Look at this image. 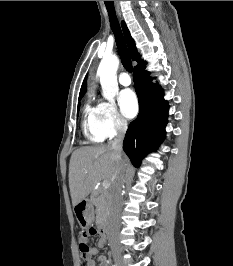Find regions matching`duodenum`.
Masks as SVG:
<instances>
[{"mask_svg":"<svg viewBox=\"0 0 233 266\" xmlns=\"http://www.w3.org/2000/svg\"><path fill=\"white\" fill-rule=\"evenodd\" d=\"M98 229H99V232H100V234L102 236V239L106 243L107 240L110 237V232H109V229H108L107 225L102 222V223L99 224V228Z\"/></svg>","mask_w":233,"mask_h":266,"instance_id":"410a0bca","label":"duodenum"}]
</instances>
